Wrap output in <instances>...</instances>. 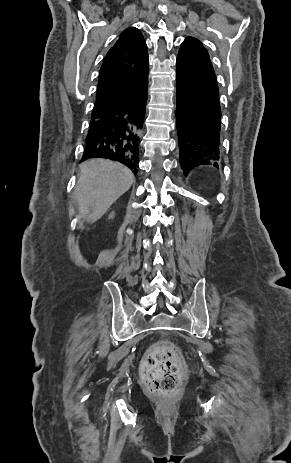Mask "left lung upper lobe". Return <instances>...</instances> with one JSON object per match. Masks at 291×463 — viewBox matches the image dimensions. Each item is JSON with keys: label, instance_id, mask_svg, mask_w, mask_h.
Instances as JSON below:
<instances>
[{"label": "left lung upper lobe", "instance_id": "left-lung-upper-lobe-1", "mask_svg": "<svg viewBox=\"0 0 291 463\" xmlns=\"http://www.w3.org/2000/svg\"><path fill=\"white\" fill-rule=\"evenodd\" d=\"M176 64L177 70L217 84L215 72L207 50L199 40L193 37L186 38L181 44Z\"/></svg>", "mask_w": 291, "mask_h": 463}]
</instances>
